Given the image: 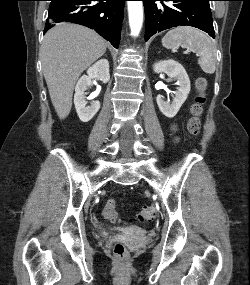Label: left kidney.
I'll list each match as a JSON object with an SVG mask.
<instances>
[{
	"label": "left kidney",
	"mask_w": 250,
	"mask_h": 285,
	"mask_svg": "<svg viewBox=\"0 0 250 285\" xmlns=\"http://www.w3.org/2000/svg\"><path fill=\"white\" fill-rule=\"evenodd\" d=\"M155 73H165L168 77L177 80V91L173 101L166 102L162 95L156 98L157 105L161 113L168 117L173 118L181 108L182 104L186 101L190 92V80L184 67L174 60L159 61L153 65Z\"/></svg>",
	"instance_id": "obj_1"
}]
</instances>
